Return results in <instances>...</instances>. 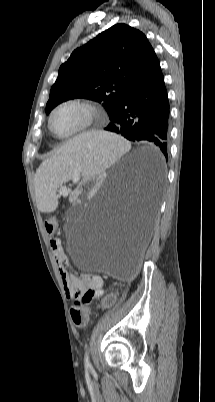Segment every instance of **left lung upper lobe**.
Returning a JSON list of instances; mask_svg holds the SVG:
<instances>
[{"instance_id": "1", "label": "left lung upper lobe", "mask_w": 215, "mask_h": 402, "mask_svg": "<svg viewBox=\"0 0 215 402\" xmlns=\"http://www.w3.org/2000/svg\"><path fill=\"white\" fill-rule=\"evenodd\" d=\"M157 61L141 31L114 25L74 50L61 65L46 114L64 101L86 98L102 103L110 118L132 84Z\"/></svg>"}]
</instances>
